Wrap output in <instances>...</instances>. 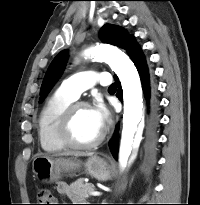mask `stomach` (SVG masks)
Returning a JSON list of instances; mask_svg holds the SVG:
<instances>
[{
  "mask_svg": "<svg viewBox=\"0 0 200 205\" xmlns=\"http://www.w3.org/2000/svg\"><path fill=\"white\" fill-rule=\"evenodd\" d=\"M81 164L77 159L38 156L33 160L32 168L42 182L51 183L57 181L61 173L74 171ZM83 165L91 176L101 181L108 180L114 171L112 164L97 155L89 157Z\"/></svg>",
  "mask_w": 200,
  "mask_h": 205,
  "instance_id": "1",
  "label": "stomach"
}]
</instances>
